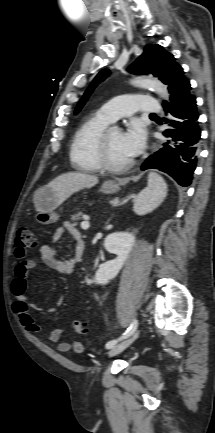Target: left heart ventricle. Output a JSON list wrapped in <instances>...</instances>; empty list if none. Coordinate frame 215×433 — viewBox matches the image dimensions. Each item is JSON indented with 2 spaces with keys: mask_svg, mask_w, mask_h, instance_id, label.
I'll use <instances>...</instances> for the list:
<instances>
[{
  "mask_svg": "<svg viewBox=\"0 0 215 433\" xmlns=\"http://www.w3.org/2000/svg\"><path fill=\"white\" fill-rule=\"evenodd\" d=\"M121 136L122 133L118 129H111L108 135L109 156L115 164H122L132 159L122 146Z\"/></svg>",
  "mask_w": 215,
  "mask_h": 433,
  "instance_id": "b2bd125f",
  "label": "left heart ventricle"
}]
</instances>
